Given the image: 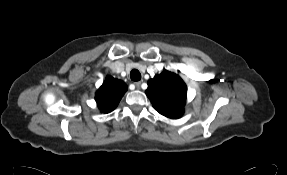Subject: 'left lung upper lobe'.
Instances as JSON below:
<instances>
[{
    "label": "left lung upper lobe",
    "instance_id": "obj_1",
    "mask_svg": "<svg viewBox=\"0 0 287 175\" xmlns=\"http://www.w3.org/2000/svg\"><path fill=\"white\" fill-rule=\"evenodd\" d=\"M146 95L160 114L172 119L183 115L187 87L177 74L166 70L150 79Z\"/></svg>",
    "mask_w": 287,
    "mask_h": 175
}]
</instances>
